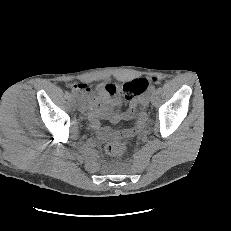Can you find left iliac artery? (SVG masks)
Listing matches in <instances>:
<instances>
[{"instance_id":"44dca946","label":"left iliac artery","mask_w":231,"mask_h":231,"mask_svg":"<svg viewBox=\"0 0 231 231\" xmlns=\"http://www.w3.org/2000/svg\"><path fill=\"white\" fill-rule=\"evenodd\" d=\"M154 90H155V86L154 85H152V86L149 87V91L150 92H153Z\"/></svg>"}]
</instances>
